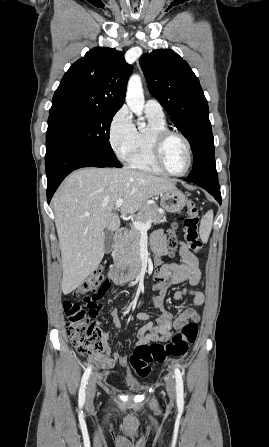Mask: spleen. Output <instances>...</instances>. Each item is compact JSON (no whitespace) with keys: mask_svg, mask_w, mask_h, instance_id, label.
<instances>
[{"mask_svg":"<svg viewBox=\"0 0 269 447\" xmlns=\"http://www.w3.org/2000/svg\"><path fill=\"white\" fill-rule=\"evenodd\" d=\"M213 210H209L205 216H203L200 227H199V233L200 237L203 241V243H207L208 237L211 233L212 225H213Z\"/></svg>","mask_w":269,"mask_h":447,"instance_id":"spleen-1","label":"spleen"}]
</instances>
